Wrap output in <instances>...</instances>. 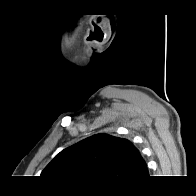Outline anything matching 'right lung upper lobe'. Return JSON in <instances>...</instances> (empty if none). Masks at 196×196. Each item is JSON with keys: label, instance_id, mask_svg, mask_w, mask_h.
I'll return each instance as SVG.
<instances>
[{"label": "right lung upper lobe", "instance_id": "right-lung-upper-lobe-1", "mask_svg": "<svg viewBox=\"0 0 196 196\" xmlns=\"http://www.w3.org/2000/svg\"><path fill=\"white\" fill-rule=\"evenodd\" d=\"M41 176L56 183L114 187L148 176L145 160L127 139L96 134L58 153Z\"/></svg>", "mask_w": 196, "mask_h": 196}]
</instances>
